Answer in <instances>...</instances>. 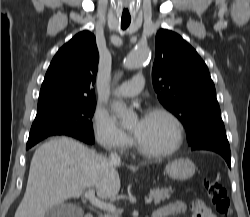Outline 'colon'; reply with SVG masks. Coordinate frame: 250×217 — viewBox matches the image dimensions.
<instances>
[{
	"instance_id": "1",
	"label": "colon",
	"mask_w": 250,
	"mask_h": 217,
	"mask_svg": "<svg viewBox=\"0 0 250 217\" xmlns=\"http://www.w3.org/2000/svg\"><path fill=\"white\" fill-rule=\"evenodd\" d=\"M203 185L216 212L221 217H231V202L225 188L214 178H204Z\"/></svg>"
}]
</instances>
